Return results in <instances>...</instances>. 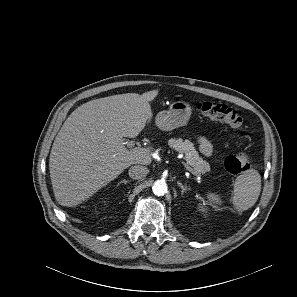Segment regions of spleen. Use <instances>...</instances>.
Masks as SVG:
<instances>
[{
  "mask_svg": "<svg viewBox=\"0 0 297 297\" xmlns=\"http://www.w3.org/2000/svg\"><path fill=\"white\" fill-rule=\"evenodd\" d=\"M261 192V176L255 169H248L242 172L234 182L232 203L239 211H245L251 208ZM206 197L209 200V204L216 206L221 204L220 196L208 192Z\"/></svg>",
  "mask_w": 297,
  "mask_h": 297,
  "instance_id": "spleen-1",
  "label": "spleen"
}]
</instances>
